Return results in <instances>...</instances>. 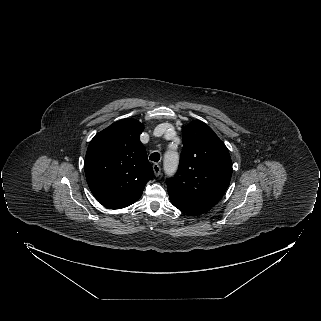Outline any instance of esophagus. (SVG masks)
<instances>
[{
    "instance_id": "esophagus-1",
    "label": "esophagus",
    "mask_w": 321,
    "mask_h": 321,
    "mask_svg": "<svg viewBox=\"0 0 321 321\" xmlns=\"http://www.w3.org/2000/svg\"><path fill=\"white\" fill-rule=\"evenodd\" d=\"M153 171H154V174H155V176H160V174H161V167H160V165L159 164H157V163H155V164H153Z\"/></svg>"
}]
</instances>
